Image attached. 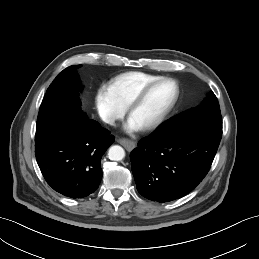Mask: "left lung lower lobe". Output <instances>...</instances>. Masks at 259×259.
<instances>
[{
    "instance_id": "left-lung-lower-lobe-1",
    "label": "left lung lower lobe",
    "mask_w": 259,
    "mask_h": 259,
    "mask_svg": "<svg viewBox=\"0 0 259 259\" xmlns=\"http://www.w3.org/2000/svg\"><path fill=\"white\" fill-rule=\"evenodd\" d=\"M221 137V121L191 119L142 139L130 155L138 192L157 202L185 196L207 175Z\"/></svg>"
}]
</instances>
